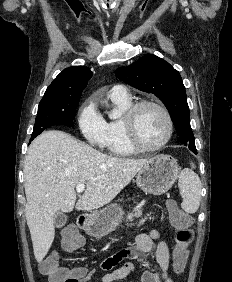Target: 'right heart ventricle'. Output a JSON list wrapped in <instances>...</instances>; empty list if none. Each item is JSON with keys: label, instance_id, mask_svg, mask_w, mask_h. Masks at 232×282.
<instances>
[{"label": "right heart ventricle", "instance_id": "right-heart-ventricle-1", "mask_svg": "<svg viewBox=\"0 0 232 282\" xmlns=\"http://www.w3.org/2000/svg\"><path fill=\"white\" fill-rule=\"evenodd\" d=\"M113 105L121 112L122 116L106 122V139L104 148L116 156H129L137 152L126 137L123 124V116L127 109L132 105L130 98H117L110 96Z\"/></svg>", "mask_w": 232, "mask_h": 282}]
</instances>
